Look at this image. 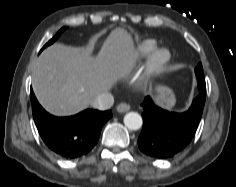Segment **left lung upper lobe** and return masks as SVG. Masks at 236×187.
Returning <instances> with one entry per match:
<instances>
[{
	"mask_svg": "<svg viewBox=\"0 0 236 187\" xmlns=\"http://www.w3.org/2000/svg\"><path fill=\"white\" fill-rule=\"evenodd\" d=\"M195 74L197 77V81H198V89L201 92L206 93V84H205V77H204V72H203V67L202 64L199 63L195 69Z\"/></svg>",
	"mask_w": 236,
	"mask_h": 187,
	"instance_id": "5c2ea615",
	"label": "left lung upper lobe"
}]
</instances>
